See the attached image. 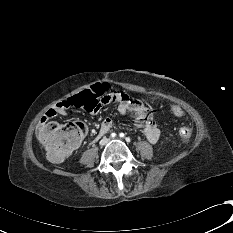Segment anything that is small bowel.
<instances>
[{
	"mask_svg": "<svg viewBox=\"0 0 233 233\" xmlns=\"http://www.w3.org/2000/svg\"><path fill=\"white\" fill-rule=\"evenodd\" d=\"M106 96L102 97L101 101L95 102L91 111L94 114L101 112L103 108L109 106L110 103L118 104V111L122 115L131 113L133 115L134 125L141 130L147 140L151 143H156L161 136V131L155 124L152 115V109L149 104L137 101L135 96L129 95L127 92L116 89L108 88ZM67 99L62 100L50 108L42 117L39 123V130L41 131L46 123L58 115H66L70 107L66 106ZM113 122L110 118H105L100 123V131L95 136L94 141L98 142L99 139L112 128Z\"/></svg>",
	"mask_w": 233,
	"mask_h": 233,
	"instance_id": "obj_1",
	"label": "small bowel"
}]
</instances>
